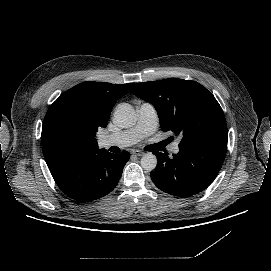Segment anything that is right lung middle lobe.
<instances>
[{"label":"right lung middle lobe","mask_w":271,"mask_h":271,"mask_svg":"<svg viewBox=\"0 0 271 271\" xmlns=\"http://www.w3.org/2000/svg\"><path fill=\"white\" fill-rule=\"evenodd\" d=\"M50 142L62 149L76 146L85 136L83 127L70 113H60L48 129Z\"/></svg>","instance_id":"right-lung-middle-lobe-1"}]
</instances>
